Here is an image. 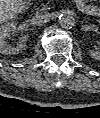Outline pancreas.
<instances>
[{"mask_svg":"<svg viewBox=\"0 0 100 118\" xmlns=\"http://www.w3.org/2000/svg\"><path fill=\"white\" fill-rule=\"evenodd\" d=\"M42 8H46V4H42Z\"/></svg>","mask_w":100,"mask_h":118,"instance_id":"obj_1","label":"pancreas"}]
</instances>
